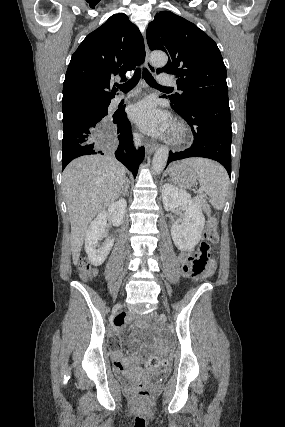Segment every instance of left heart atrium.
<instances>
[{
	"instance_id": "left-heart-atrium-1",
	"label": "left heart atrium",
	"mask_w": 285,
	"mask_h": 427,
	"mask_svg": "<svg viewBox=\"0 0 285 427\" xmlns=\"http://www.w3.org/2000/svg\"><path fill=\"white\" fill-rule=\"evenodd\" d=\"M130 118L144 131L164 133L171 128L169 117L157 109L154 100L143 99L131 106Z\"/></svg>"
}]
</instances>
